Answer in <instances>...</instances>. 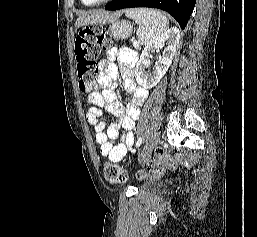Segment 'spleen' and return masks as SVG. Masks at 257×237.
<instances>
[{"instance_id":"obj_1","label":"spleen","mask_w":257,"mask_h":237,"mask_svg":"<svg viewBox=\"0 0 257 237\" xmlns=\"http://www.w3.org/2000/svg\"><path fill=\"white\" fill-rule=\"evenodd\" d=\"M125 15L139 25L137 37L141 45L153 42L165 33L169 26L168 19L160 11L154 9H126Z\"/></svg>"}]
</instances>
